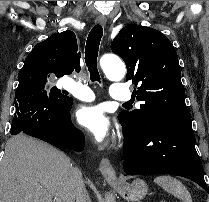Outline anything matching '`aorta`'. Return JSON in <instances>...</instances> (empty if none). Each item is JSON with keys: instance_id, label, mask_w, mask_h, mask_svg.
Wrapping results in <instances>:
<instances>
[{"instance_id": "1", "label": "aorta", "mask_w": 209, "mask_h": 202, "mask_svg": "<svg viewBox=\"0 0 209 202\" xmlns=\"http://www.w3.org/2000/svg\"><path fill=\"white\" fill-rule=\"evenodd\" d=\"M100 65L106 77L111 80L119 81L125 77V65L117 56L104 55L100 60Z\"/></svg>"}]
</instances>
